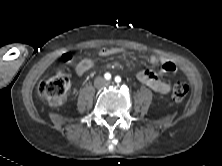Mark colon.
Instances as JSON below:
<instances>
[{"instance_id": "1", "label": "colon", "mask_w": 222, "mask_h": 166, "mask_svg": "<svg viewBox=\"0 0 222 166\" xmlns=\"http://www.w3.org/2000/svg\"><path fill=\"white\" fill-rule=\"evenodd\" d=\"M71 55L63 56L64 62H69ZM69 89V79L62 71H57L48 79L43 80L38 86L39 95L52 107H59L64 104ZM189 91L187 84L176 82L172 88V97L175 101L183 100Z\"/></svg>"}]
</instances>
